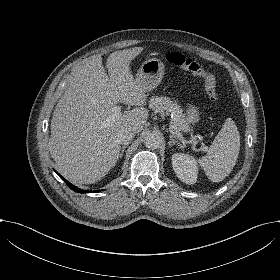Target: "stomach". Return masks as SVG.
Instances as JSON below:
<instances>
[{
    "label": "stomach",
    "mask_w": 280,
    "mask_h": 280,
    "mask_svg": "<svg viewBox=\"0 0 280 280\" xmlns=\"http://www.w3.org/2000/svg\"><path fill=\"white\" fill-rule=\"evenodd\" d=\"M164 65L158 59H148L142 63L136 76L135 82L141 86L145 93L155 89L162 81ZM199 115L194 108H190L188 118L193 122ZM190 122V124H191Z\"/></svg>",
    "instance_id": "0dacf381"
}]
</instances>
